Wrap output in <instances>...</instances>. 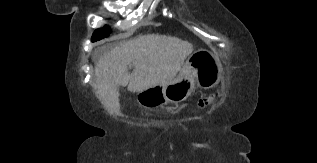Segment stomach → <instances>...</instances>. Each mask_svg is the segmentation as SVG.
I'll list each match as a JSON object with an SVG mask.
<instances>
[{"label":"stomach","instance_id":"0dacf381","mask_svg":"<svg viewBox=\"0 0 317 163\" xmlns=\"http://www.w3.org/2000/svg\"><path fill=\"white\" fill-rule=\"evenodd\" d=\"M221 76L219 59L212 52L200 49L189 57L175 79L138 92L136 99L140 106L147 109L181 103L191 95L195 85L203 89L212 88L219 83Z\"/></svg>","mask_w":317,"mask_h":163}]
</instances>
